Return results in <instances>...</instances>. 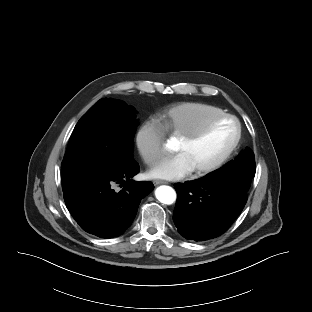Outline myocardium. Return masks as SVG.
Listing matches in <instances>:
<instances>
[{"mask_svg":"<svg viewBox=\"0 0 312 312\" xmlns=\"http://www.w3.org/2000/svg\"><path fill=\"white\" fill-rule=\"evenodd\" d=\"M223 119H229V120H232L235 122L236 127H237L236 137H235L234 141L232 142V144L230 145V147L227 149V151L219 159H217L215 162H213L212 164H210L208 166L194 170L195 175L202 176V175H206L208 173H211V172L217 170L218 168H220L231 157V155L236 150V148H237V146L241 140V137H242L241 123L236 116H234L232 114H228V113H222V114H219V115H216V116H213V117L207 119L196 130L181 136V140L183 142H186V143L195 142L198 139H200L214 123H216L220 120H223Z\"/></svg>","mask_w":312,"mask_h":312,"instance_id":"myocardium-1","label":"myocardium"}]
</instances>
